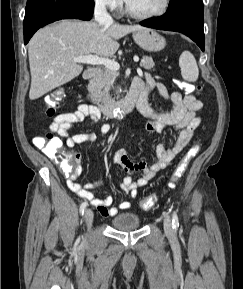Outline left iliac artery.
Listing matches in <instances>:
<instances>
[{"label":"left iliac artery","instance_id":"1","mask_svg":"<svg viewBox=\"0 0 243 289\" xmlns=\"http://www.w3.org/2000/svg\"><path fill=\"white\" fill-rule=\"evenodd\" d=\"M172 225L174 229H177L179 227V220L176 212H174L172 215Z\"/></svg>","mask_w":243,"mask_h":289}]
</instances>
